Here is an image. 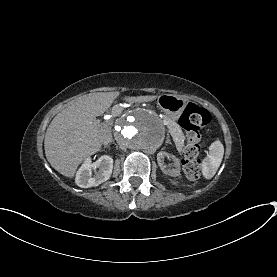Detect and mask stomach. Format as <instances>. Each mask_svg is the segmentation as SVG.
<instances>
[{
    "instance_id": "obj_1",
    "label": "stomach",
    "mask_w": 277,
    "mask_h": 277,
    "mask_svg": "<svg viewBox=\"0 0 277 277\" xmlns=\"http://www.w3.org/2000/svg\"><path fill=\"white\" fill-rule=\"evenodd\" d=\"M158 105L168 117L177 118L184 111L187 102L175 95L164 94L159 96Z\"/></svg>"
}]
</instances>
